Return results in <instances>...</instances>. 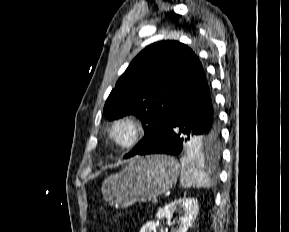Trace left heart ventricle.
Instances as JSON below:
<instances>
[{"label":"left heart ventricle","instance_id":"b2bd125f","mask_svg":"<svg viewBox=\"0 0 289 232\" xmlns=\"http://www.w3.org/2000/svg\"><path fill=\"white\" fill-rule=\"evenodd\" d=\"M116 137L120 141H126L131 135V129L128 126H121L116 130Z\"/></svg>","mask_w":289,"mask_h":232}]
</instances>
